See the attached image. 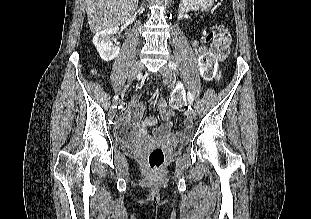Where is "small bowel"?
<instances>
[{
  "instance_id": "small-bowel-1",
  "label": "small bowel",
  "mask_w": 311,
  "mask_h": 219,
  "mask_svg": "<svg viewBox=\"0 0 311 219\" xmlns=\"http://www.w3.org/2000/svg\"><path fill=\"white\" fill-rule=\"evenodd\" d=\"M158 109L162 117L166 118L168 121L166 124L160 126L156 133L161 137H171L170 130L172 127L171 117L172 114L166 108L163 100L158 101ZM143 110L144 105L140 101H138L137 96L134 95L130 101L129 107L126 110V114L120 116L118 121V132L122 138H126L128 136L136 135L142 138H145L149 134V130L152 127H155L159 123V117L157 116H149L143 119ZM128 114L132 115V120H128ZM191 133V127L186 120L184 123V129L181 132L176 133L174 136L177 140H183L186 135Z\"/></svg>"
}]
</instances>
